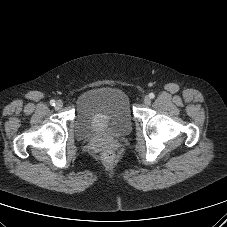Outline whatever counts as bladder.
<instances>
[{
  "instance_id": "31cf9c89",
  "label": "bladder",
  "mask_w": 227,
  "mask_h": 227,
  "mask_svg": "<svg viewBox=\"0 0 227 227\" xmlns=\"http://www.w3.org/2000/svg\"><path fill=\"white\" fill-rule=\"evenodd\" d=\"M131 128L129 100L121 89L96 87L78 97L74 120L77 138H118L128 134Z\"/></svg>"
}]
</instances>
